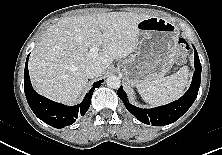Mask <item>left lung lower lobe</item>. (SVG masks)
Returning <instances> with one entry per match:
<instances>
[{"instance_id": "1", "label": "left lung lower lobe", "mask_w": 222, "mask_h": 155, "mask_svg": "<svg viewBox=\"0 0 222 155\" xmlns=\"http://www.w3.org/2000/svg\"><path fill=\"white\" fill-rule=\"evenodd\" d=\"M194 47V46H193ZM194 65L195 71L193 79L188 91L177 101L170 104L156 107L153 109H142L133 106L128 102L126 93L122 86L118 89V96L123 101L127 110L132 113L139 121L145 124H152L154 126L168 125L179 119L191 107L195 101L201 81V63L198 53L194 47Z\"/></svg>"}]
</instances>
